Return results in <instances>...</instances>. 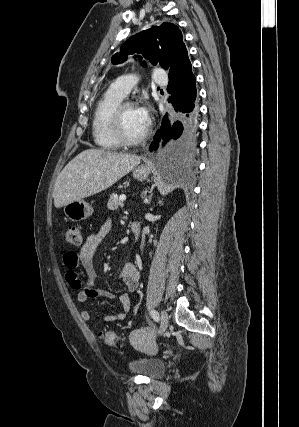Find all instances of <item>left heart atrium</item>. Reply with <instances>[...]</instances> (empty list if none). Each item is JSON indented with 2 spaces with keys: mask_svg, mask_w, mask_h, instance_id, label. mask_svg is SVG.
Masks as SVG:
<instances>
[{
  "mask_svg": "<svg viewBox=\"0 0 299 427\" xmlns=\"http://www.w3.org/2000/svg\"><path fill=\"white\" fill-rule=\"evenodd\" d=\"M139 119L143 123L145 127H147L150 123L149 111L145 106L136 108Z\"/></svg>",
  "mask_w": 299,
  "mask_h": 427,
  "instance_id": "1",
  "label": "left heart atrium"
}]
</instances>
